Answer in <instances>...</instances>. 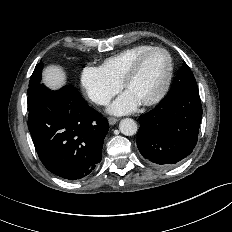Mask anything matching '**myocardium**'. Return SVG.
<instances>
[{
    "instance_id": "f54148a6",
    "label": "myocardium",
    "mask_w": 232,
    "mask_h": 232,
    "mask_svg": "<svg viewBox=\"0 0 232 232\" xmlns=\"http://www.w3.org/2000/svg\"><path fill=\"white\" fill-rule=\"evenodd\" d=\"M156 51L164 52L167 56V59H168L167 75H166L165 81L163 83V86L161 87L159 92L151 99L146 100V101L141 103L144 106H152V105L159 103L165 97V95L167 94V92L170 88L172 78H173V72H174V64H173V59H172L170 52L167 49H165L163 47H159V46H153V47L143 51L133 60V62L129 66V68H128L127 72L125 73V75L122 79V82H121V87L126 90L128 84L131 82V80L138 73L143 60L149 54L156 52Z\"/></svg>"
}]
</instances>
